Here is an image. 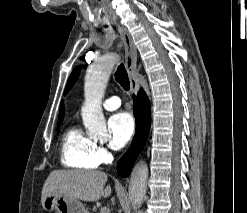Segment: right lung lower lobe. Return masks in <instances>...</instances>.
<instances>
[{
	"mask_svg": "<svg viewBox=\"0 0 247 213\" xmlns=\"http://www.w3.org/2000/svg\"><path fill=\"white\" fill-rule=\"evenodd\" d=\"M133 99L136 132L130 149L123 155L117 164L118 174L122 177L130 175L132 166L147 141L151 122V109L146 94L143 91H140L137 97L133 96Z\"/></svg>",
	"mask_w": 247,
	"mask_h": 213,
	"instance_id": "obj_1",
	"label": "right lung lower lobe"
}]
</instances>
